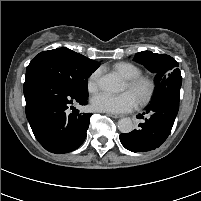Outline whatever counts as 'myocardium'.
Returning a JSON list of instances; mask_svg holds the SVG:
<instances>
[{
	"mask_svg": "<svg viewBox=\"0 0 201 201\" xmlns=\"http://www.w3.org/2000/svg\"><path fill=\"white\" fill-rule=\"evenodd\" d=\"M127 86L135 94L138 103L141 105L149 103L155 92L154 81L146 76L128 79Z\"/></svg>",
	"mask_w": 201,
	"mask_h": 201,
	"instance_id": "f54148a6",
	"label": "myocardium"
}]
</instances>
